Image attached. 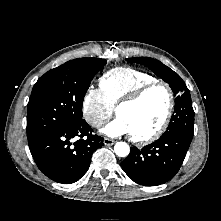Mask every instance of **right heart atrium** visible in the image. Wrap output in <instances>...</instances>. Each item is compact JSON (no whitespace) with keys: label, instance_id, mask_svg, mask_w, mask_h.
I'll list each match as a JSON object with an SVG mask.
<instances>
[{"label":"right heart atrium","instance_id":"d8ad5b80","mask_svg":"<svg viewBox=\"0 0 221 221\" xmlns=\"http://www.w3.org/2000/svg\"><path fill=\"white\" fill-rule=\"evenodd\" d=\"M113 107L100 89L89 87L82 101V114L85 121L93 128H99L113 113Z\"/></svg>","mask_w":221,"mask_h":221}]
</instances>
